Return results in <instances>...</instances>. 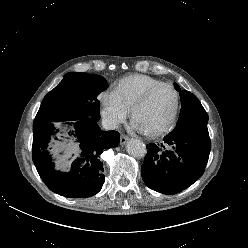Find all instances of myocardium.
<instances>
[{
	"label": "myocardium",
	"instance_id": "myocardium-1",
	"mask_svg": "<svg viewBox=\"0 0 248 248\" xmlns=\"http://www.w3.org/2000/svg\"><path fill=\"white\" fill-rule=\"evenodd\" d=\"M162 87H169L173 90L174 92V96H175V102H174V108L172 111V114L168 120V122L161 127L160 129L156 130V131H152V132H145V134L149 137L155 138V137H159L164 135L165 133H167L168 131H170L177 119L178 116V111H179V106H180V95L179 92L177 91L176 87L174 85H172L171 83H167V82H161L153 87H151L150 89H148L143 95L142 97L135 103V105L133 106V108L131 109V120L132 122H134V118L136 116V114L146 106V104L148 103V101L150 100L151 96L160 88Z\"/></svg>",
	"mask_w": 248,
	"mask_h": 248
}]
</instances>
